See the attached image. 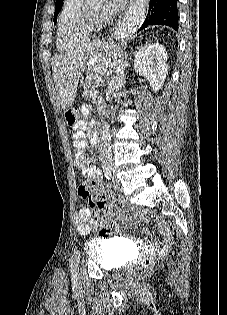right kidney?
Here are the masks:
<instances>
[{"label":"right kidney","instance_id":"1","mask_svg":"<svg viewBox=\"0 0 227 315\" xmlns=\"http://www.w3.org/2000/svg\"><path fill=\"white\" fill-rule=\"evenodd\" d=\"M167 52L158 42L140 47L134 59V68L144 76L154 92L159 91L168 73Z\"/></svg>","mask_w":227,"mask_h":315}]
</instances>
